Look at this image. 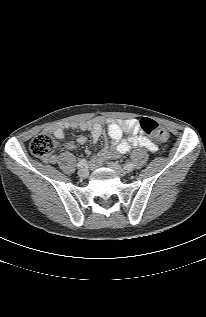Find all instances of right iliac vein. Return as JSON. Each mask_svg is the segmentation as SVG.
Instances as JSON below:
<instances>
[{
  "label": "right iliac vein",
  "instance_id": "obj_1",
  "mask_svg": "<svg viewBox=\"0 0 206 317\" xmlns=\"http://www.w3.org/2000/svg\"><path fill=\"white\" fill-rule=\"evenodd\" d=\"M89 172L86 168H82L78 171V175L81 178H86L88 176Z\"/></svg>",
  "mask_w": 206,
  "mask_h": 317
}]
</instances>
